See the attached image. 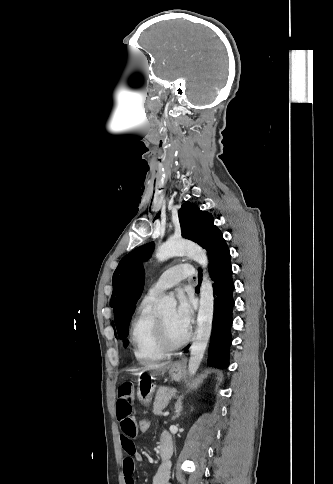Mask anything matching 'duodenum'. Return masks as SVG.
I'll return each instance as SVG.
<instances>
[{
	"label": "duodenum",
	"mask_w": 333,
	"mask_h": 484,
	"mask_svg": "<svg viewBox=\"0 0 333 484\" xmlns=\"http://www.w3.org/2000/svg\"><path fill=\"white\" fill-rule=\"evenodd\" d=\"M158 454L161 461V466L165 468L170 467V460L172 456V443L171 441H161L158 447Z\"/></svg>",
	"instance_id": "duodenum-1"
}]
</instances>
